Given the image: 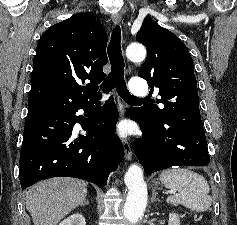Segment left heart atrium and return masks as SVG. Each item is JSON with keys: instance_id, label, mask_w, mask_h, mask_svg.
<instances>
[{"instance_id": "obj_1", "label": "left heart atrium", "mask_w": 237, "mask_h": 225, "mask_svg": "<svg viewBox=\"0 0 237 225\" xmlns=\"http://www.w3.org/2000/svg\"><path fill=\"white\" fill-rule=\"evenodd\" d=\"M126 132H127L126 126H125V124H122L120 126V133L124 135V134H126Z\"/></svg>"}]
</instances>
